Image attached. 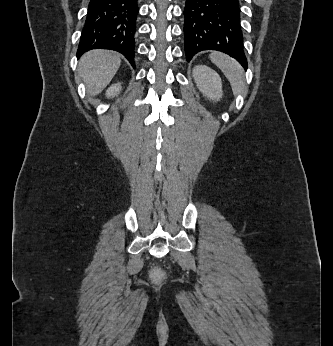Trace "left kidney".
<instances>
[{"mask_svg": "<svg viewBox=\"0 0 333 346\" xmlns=\"http://www.w3.org/2000/svg\"><path fill=\"white\" fill-rule=\"evenodd\" d=\"M193 77L204 96L213 101L222 97V81L213 69L206 65H197L193 69Z\"/></svg>", "mask_w": 333, "mask_h": 346, "instance_id": "left-kidney-1", "label": "left kidney"}]
</instances>
